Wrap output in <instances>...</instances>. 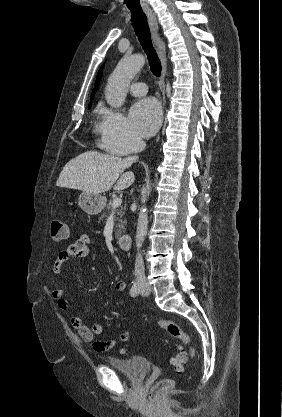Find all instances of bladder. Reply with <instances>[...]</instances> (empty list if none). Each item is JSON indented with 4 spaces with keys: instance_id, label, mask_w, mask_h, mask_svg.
<instances>
[{
    "instance_id": "31cf9c89",
    "label": "bladder",
    "mask_w": 282,
    "mask_h": 417,
    "mask_svg": "<svg viewBox=\"0 0 282 417\" xmlns=\"http://www.w3.org/2000/svg\"><path fill=\"white\" fill-rule=\"evenodd\" d=\"M107 363L130 381L136 383L142 381L151 371L150 361L142 356L110 357L107 359Z\"/></svg>"
}]
</instances>
